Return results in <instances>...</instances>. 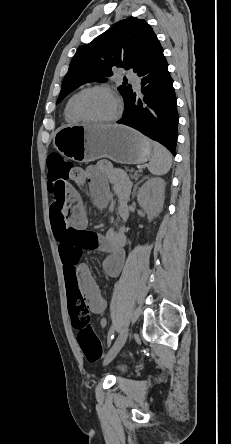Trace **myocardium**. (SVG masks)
Segmentation results:
<instances>
[{
    "mask_svg": "<svg viewBox=\"0 0 231 444\" xmlns=\"http://www.w3.org/2000/svg\"><path fill=\"white\" fill-rule=\"evenodd\" d=\"M91 91L105 92L113 99V101L115 103L116 111L111 117L104 119V120H92V119H89L88 117H86L81 112L80 101L85 94H87L88 92H91ZM73 112H74L75 116L81 122H84L87 124H92V125L112 124L119 119V117L122 113V102H121L119 96L117 95V93L112 88L105 86V85H92V86L86 87V88L82 89L80 92H78V94L76 95L74 102H73Z\"/></svg>",
    "mask_w": 231,
    "mask_h": 444,
    "instance_id": "myocardium-1",
    "label": "myocardium"
}]
</instances>
